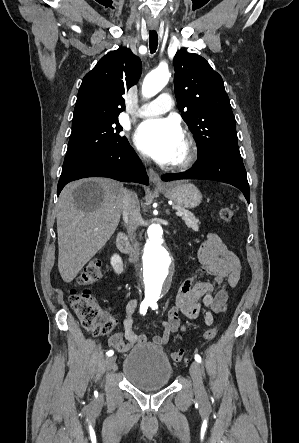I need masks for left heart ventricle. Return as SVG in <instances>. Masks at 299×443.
<instances>
[{
    "label": "left heart ventricle",
    "instance_id": "obj_1",
    "mask_svg": "<svg viewBox=\"0 0 299 443\" xmlns=\"http://www.w3.org/2000/svg\"><path fill=\"white\" fill-rule=\"evenodd\" d=\"M186 151H187V146H186V142H185V140H184L183 143H182L181 146H180V149H179V151H178V155H177V157H176L175 162L181 160V159L185 156Z\"/></svg>",
    "mask_w": 299,
    "mask_h": 443
}]
</instances>
